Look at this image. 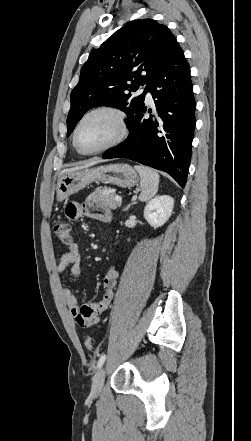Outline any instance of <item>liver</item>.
<instances>
[{"label": "liver", "mask_w": 251, "mask_h": 441, "mask_svg": "<svg viewBox=\"0 0 251 441\" xmlns=\"http://www.w3.org/2000/svg\"><path fill=\"white\" fill-rule=\"evenodd\" d=\"M100 162H102V160H100V159H93V160H90L88 162L83 163L80 166H76V167H73V168H70V169H64L61 172V174L65 173V172H69V171H76V170L85 169V168H88V167L93 166V165H95L97 163H100Z\"/></svg>", "instance_id": "obj_1"}]
</instances>
